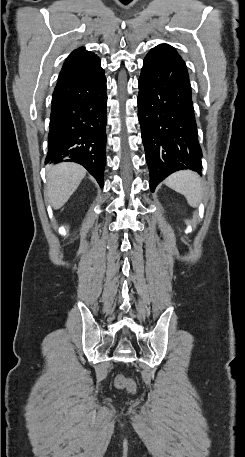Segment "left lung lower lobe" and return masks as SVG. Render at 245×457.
Segmentation results:
<instances>
[{
  "instance_id": "1",
  "label": "left lung lower lobe",
  "mask_w": 245,
  "mask_h": 457,
  "mask_svg": "<svg viewBox=\"0 0 245 457\" xmlns=\"http://www.w3.org/2000/svg\"><path fill=\"white\" fill-rule=\"evenodd\" d=\"M138 118L151 191L175 171L201 173L202 151L187 66L168 44L156 46L144 59Z\"/></svg>"
}]
</instances>
